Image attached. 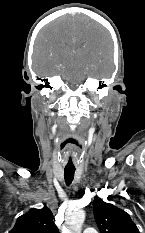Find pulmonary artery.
<instances>
[{"label":"pulmonary artery","instance_id":"pulmonary-artery-1","mask_svg":"<svg viewBox=\"0 0 145 233\" xmlns=\"http://www.w3.org/2000/svg\"><path fill=\"white\" fill-rule=\"evenodd\" d=\"M83 233H98L97 230L95 228L89 227L86 228Z\"/></svg>","mask_w":145,"mask_h":233}]
</instances>
